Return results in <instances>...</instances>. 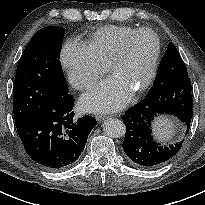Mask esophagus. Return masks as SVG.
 <instances>
[{
    "instance_id": "esophagus-1",
    "label": "esophagus",
    "mask_w": 205,
    "mask_h": 205,
    "mask_svg": "<svg viewBox=\"0 0 205 205\" xmlns=\"http://www.w3.org/2000/svg\"><path fill=\"white\" fill-rule=\"evenodd\" d=\"M95 118H96L97 121H103V120L109 118V116H107V115H96Z\"/></svg>"
}]
</instances>
